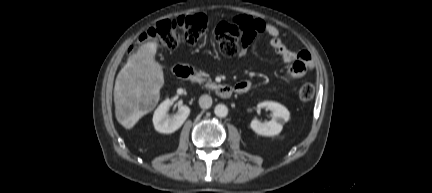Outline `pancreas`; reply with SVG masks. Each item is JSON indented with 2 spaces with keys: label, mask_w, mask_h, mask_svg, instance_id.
<instances>
[{
  "label": "pancreas",
  "mask_w": 432,
  "mask_h": 193,
  "mask_svg": "<svg viewBox=\"0 0 432 193\" xmlns=\"http://www.w3.org/2000/svg\"><path fill=\"white\" fill-rule=\"evenodd\" d=\"M199 76H200V80H199L200 83L206 81V85H205L206 88L212 89V90L217 88V84L212 82V80L209 77V74H207L205 72H200Z\"/></svg>",
  "instance_id": "1"
}]
</instances>
